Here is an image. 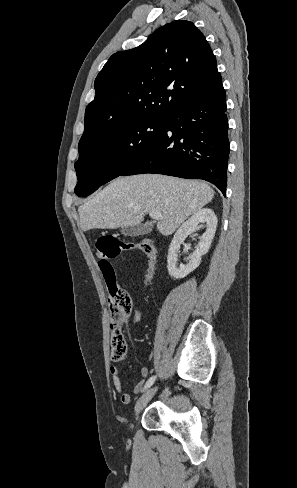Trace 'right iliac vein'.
Returning <instances> with one entry per match:
<instances>
[{
    "label": "right iliac vein",
    "instance_id": "obj_1",
    "mask_svg": "<svg viewBox=\"0 0 297 488\" xmlns=\"http://www.w3.org/2000/svg\"><path fill=\"white\" fill-rule=\"evenodd\" d=\"M156 390L157 387L150 388L139 398V400L135 405L136 413H140L143 410V408L147 405V403L151 400V398L155 394Z\"/></svg>",
    "mask_w": 297,
    "mask_h": 488
}]
</instances>
